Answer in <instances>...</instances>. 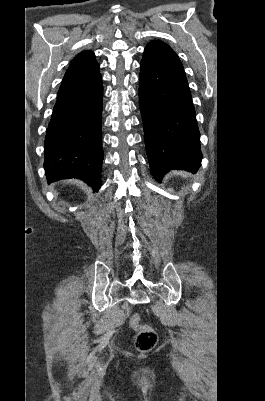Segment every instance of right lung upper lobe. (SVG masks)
<instances>
[{"label":"right lung upper lobe","mask_w":265,"mask_h":401,"mask_svg":"<svg viewBox=\"0 0 265 401\" xmlns=\"http://www.w3.org/2000/svg\"><path fill=\"white\" fill-rule=\"evenodd\" d=\"M99 81H101L99 64L95 60L94 53L92 51H82L72 60L67 69L58 95L92 88Z\"/></svg>","instance_id":"obj_1"}]
</instances>
